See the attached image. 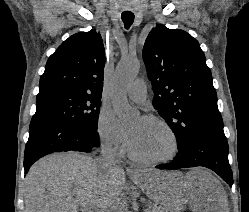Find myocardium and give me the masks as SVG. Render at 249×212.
<instances>
[{"instance_id":"1","label":"myocardium","mask_w":249,"mask_h":212,"mask_svg":"<svg viewBox=\"0 0 249 212\" xmlns=\"http://www.w3.org/2000/svg\"><path fill=\"white\" fill-rule=\"evenodd\" d=\"M141 118L145 121L157 122L160 125H162L171 135L173 142H174V149H173V152L168 157H165L162 159L150 160V159H144L140 157L139 155H137L130 146L129 154H130L131 159L139 164L147 165V166H158V165H163V164L173 161L180 152V141L173 127L165 119L159 116L144 115Z\"/></svg>"}]
</instances>
